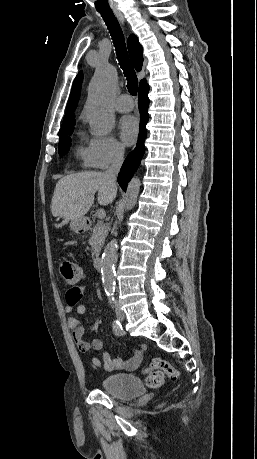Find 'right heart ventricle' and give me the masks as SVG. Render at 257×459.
Returning a JSON list of instances; mask_svg holds the SVG:
<instances>
[{
  "label": "right heart ventricle",
  "instance_id": "1",
  "mask_svg": "<svg viewBox=\"0 0 257 459\" xmlns=\"http://www.w3.org/2000/svg\"><path fill=\"white\" fill-rule=\"evenodd\" d=\"M77 155L82 159L85 166H91V163L88 157L87 148H84L83 146H79L77 150Z\"/></svg>",
  "mask_w": 257,
  "mask_h": 459
}]
</instances>
